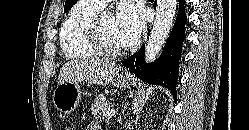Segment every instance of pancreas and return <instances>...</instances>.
I'll return each mask as SVG.
<instances>
[{"instance_id":"obj_1","label":"pancreas","mask_w":249,"mask_h":130,"mask_svg":"<svg viewBox=\"0 0 249 130\" xmlns=\"http://www.w3.org/2000/svg\"><path fill=\"white\" fill-rule=\"evenodd\" d=\"M110 108L111 106L105 100V96L100 94L95 98V101L91 106V112L96 119H104L105 113L110 110Z\"/></svg>"}]
</instances>
